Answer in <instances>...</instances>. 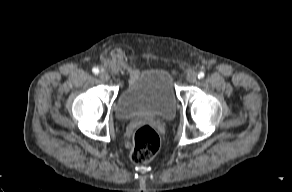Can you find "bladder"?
Here are the masks:
<instances>
[{
    "label": "bladder",
    "instance_id": "bladder-1",
    "mask_svg": "<svg viewBox=\"0 0 292 192\" xmlns=\"http://www.w3.org/2000/svg\"><path fill=\"white\" fill-rule=\"evenodd\" d=\"M176 108L172 78L163 69H147L131 76L116 101L121 120L137 117L170 119Z\"/></svg>",
    "mask_w": 292,
    "mask_h": 192
}]
</instances>
